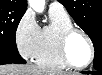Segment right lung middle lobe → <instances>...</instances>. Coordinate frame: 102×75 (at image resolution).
<instances>
[{
    "label": "right lung middle lobe",
    "instance_id": "right-lung-middle-lobe-1",
    "mask_svg": "<svg viewBox=\"0 0 102 75\" xmlns=\"http://www.w3.org/2000/svg\"><path fill=\"white\" fill-rule=\"evenodd\" d=\"M25 11L0 8V52H18L15 34Z\"/></svg>",
    "mask_w": 102,
    "mask_h": 75
}]
</instances>
